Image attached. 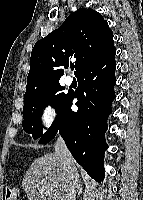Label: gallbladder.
<instances>
[{"instance_id":"gallbladder-1","label":"gallbladder","mask_w":143,"mask_h":200,"mask_svg":"<svg viewBox=\"0 0 143 200\" xmlns=\"http://www.w3.org/2000/svg\"><path fill=\"white\" fill-rule=\"evenodd\" d=\"M34 198H35V199H34ZM32 200H40V199H38V197L33 196V197H32Z\"/></svg>"}]
</instances>
